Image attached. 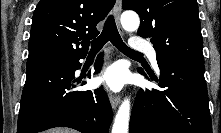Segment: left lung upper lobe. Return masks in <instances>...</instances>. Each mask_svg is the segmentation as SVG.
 Wrapping results in <instances>:
<instances>
[{
  "mask_svg": "<svg viewBox=\"0 0 221 133\" xmlns=\"http://www.w3.org/2000/svg\"><path fill=\"white\" fill-rule=\"evenodd\" d=\"M141 24L137 34L151 38L158 59H187L204 63L203 39L196 0H123Z\"/></svg>",
  "mask_w": 221,
  "mask_h": 133,
  "instance_id": "left-lung-upper-lobe-1",
  "label": "left lung upper lobe"
}]
</instances>
